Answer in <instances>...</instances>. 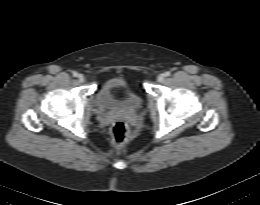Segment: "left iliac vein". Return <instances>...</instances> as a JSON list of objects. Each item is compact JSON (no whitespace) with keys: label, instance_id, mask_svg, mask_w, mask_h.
Segmentation results:
<instances>
[{"label":"left iliac vein","instance_id":"4c4485c4","mask_svg":"<svg viewBox=\"0 0 260 205\" xmlns=\"http://www.w3.org/2000/svg\"><path fill=\"white\" fill-rule=\"evenodd\" d=\"M164 79H165L164 74H160V75L157 77L158 82H163Z\"/></svg>","mask_w":260,"mask_h":205}]
</instances>
